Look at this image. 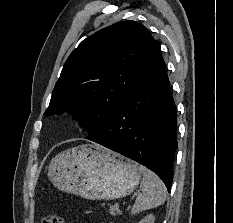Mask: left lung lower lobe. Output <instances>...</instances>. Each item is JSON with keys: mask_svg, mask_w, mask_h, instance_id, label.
<instances>
[{"mask_svg": "<svg viewBox=\"0 0 233 223\" xmlns=\"http://www.w3.org/2000/svg\"><path fill=\"white\" fill-rule=\"evenodd\" d=\"M160 53L137 88L91 139L155 172L170 191L177 148L176 108Z\"/></svg>", "mask_w": 233, "mask_h": 223, "instance_id": "obj_1", "label": "left lung lower lobe"}]
</instances>
